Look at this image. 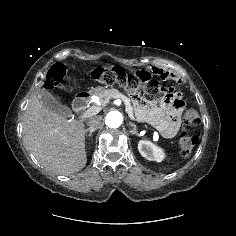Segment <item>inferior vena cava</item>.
<instances>
[{
    "label": "inferior vena cava",
    "instance_id": "obj_1",
    "mask_svg": "<svg viewBox=\"0 0 236 236\" xmlns=\"http://www.w3.org/2000/svg\"><path fill=\"white\" fill-rule=\"evenodd\" d=\"M101 121H102V116H95V117H91L87 120L86 124L90 127V128H98L101 125Z\"/></svg>",
    "mask_w": 236,
    "mask_h": 236
}]
</instances>
